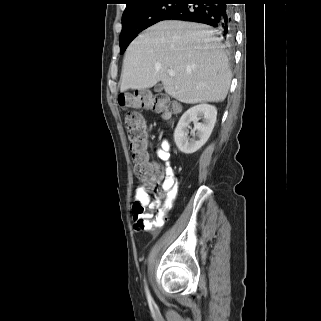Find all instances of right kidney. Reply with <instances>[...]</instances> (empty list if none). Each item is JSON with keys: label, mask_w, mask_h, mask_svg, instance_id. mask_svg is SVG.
I'll use <instances>...</instances> for the list:
<instances>
[{"label": "right kidney", "mask_w": 321, "mask_h": 321, "mask_svg": "<svg viewBox=\"0 0 321 321\" xmlns=\"http://www.w3.org/2000/svg\"><path fill=\"white\" fill-rule=\"evenodd\" d=\"M203 118V123L199 119ZM216 107L202 103L188 109L180 118L174 131V141L178 149L185 154L199 150L209 139L216 123ZM194 123L191 131L193 138L189 139V124ZM196 131V133H195Z\"/></svg>", "instance_id": "right-kidney-1"}]
</instances>
